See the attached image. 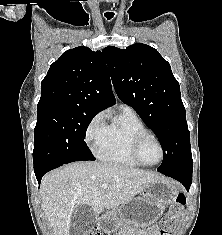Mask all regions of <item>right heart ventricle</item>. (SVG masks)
Returning a JSON list of instances; mask_svg holds the SVG:
<instances>
[{
    "instance_id": "1",
    "label": "right heart ventricle",
    "mask_w": 222,
    "mask_h": 235,
    "mask_svg": "<svg viewBox=\"0 0 222 235\" xmlns=\"http://www.w3.org/2000/svg\"><path fill=\"white\" fill-rule=\"evenodd\" d=\"M148 132L136 112L121 108L106 126L105 138L97 155L103 161L130 167L140 166L131 155V146L139 134Z\"/></svg>"
}]
</instances>
